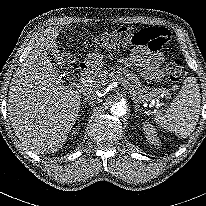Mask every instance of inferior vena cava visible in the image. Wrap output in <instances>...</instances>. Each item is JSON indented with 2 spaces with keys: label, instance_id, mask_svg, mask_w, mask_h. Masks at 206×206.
Instances as JSON below:
<instances>
[{
  "label": "inferior vena cava",
  "instance_id": "1",
  "mask_svg": "<svg viewBox=\"0 0 206 206\" xmlns=\"http://www.w3.org/2000/svg\"><path fill=\"white\" fill-rule=\"evenodd\" d=\"M83 95L85 96L84 99L90 100L91 102L97 103L100 101V98H98L96 95H94V91L92 88H85L82 90Z\"/></svg>",
  "mask_w": 206,
  "mask_h": 206
}]
</instances>
